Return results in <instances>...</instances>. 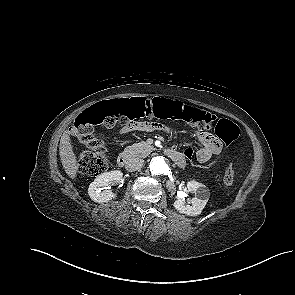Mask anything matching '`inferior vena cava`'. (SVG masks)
Segmentation results:
<instances>
[{"label": "inferior vena cava", "mask_w": 295, "mask_h": 295, "mask_svg": "<svg viewBox=\"0 0 295 295\" xmlns=\"http://www.w3.org/2000/svg\"><path fill=\"white\" fill-rule=\"evenodd\" d=\"M143 166V160L140 158H130L125 165L127 171H136Z\"/></svg>", "instance_id": "obj_1"}]
</instances>
